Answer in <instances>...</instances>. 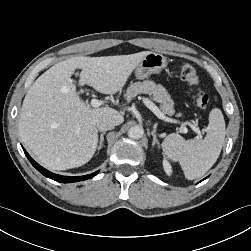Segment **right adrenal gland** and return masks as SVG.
I'll return each mask as SVG.
<instances>
[{"label": "right adrenal gland", "mask_w": 251, "mask_h": 251, "mask_svg": "<svg viewBox=\"0 0 251 251\" xmlns=\"http://www.w3.org/2000/svg\"><path fill=\"white\" fill-rule=\"evenodd\" d=\"M106 132H102L100 134V139H99V144H98V151L102 148L103 146V141H104V135H105Z\"/></svg>", "instance_id": "1"}]
</instances>
